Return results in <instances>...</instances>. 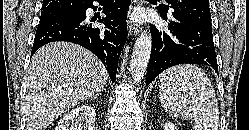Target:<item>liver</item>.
<instances>
[{
	"label": "liver",
	"mask_w": 249,
	"mask_h": 130,
	"mask_svg": "<svg viewBox=\"0 0 249 130\" xmlns=\"http://www.w3.org/2000/svg\"><path fill=\"white\" fill-rule=\"evenodd\" d=\"M109 77L102 62L85 48L56 42L33 55L24 102L27 130H45L70 108L93 97Z\"/></svg>",
	"instance_id": "obj_1"
}]
</instances>
